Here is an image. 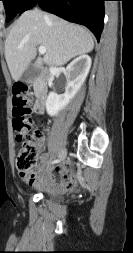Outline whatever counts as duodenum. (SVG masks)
Returning a JSON list of instances; mask_svg holds the SVG:
<instances>
[{
  "label": "duodenum",
  "mask_w": 133,
  "mask_h": 253,
  "mask_svg": "<svg viewBox=\"0 0 133 253\" xmlns=\"http://www.w3.org/2000/svg\"><path fill=\"white\" fill-rule=\"evenodd\" d=\"M48 81L49 78L45 72L40 73L39 76L33 80V85L36 90L34 111L37 114H43L45 112Z\"/></svg>",
  "instance_id": "1"
}]
</instances>
